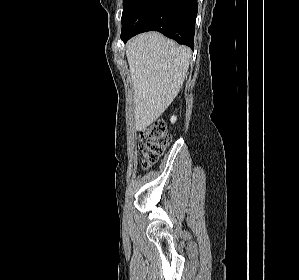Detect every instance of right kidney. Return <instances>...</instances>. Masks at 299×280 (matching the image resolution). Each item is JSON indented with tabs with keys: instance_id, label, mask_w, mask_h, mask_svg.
I'll return each instance as SVG.
<instances>
[{
	"instance_id": "ca27d5eb",
	"label": "right kidney",
	"mask_w": 299,
	"mask_h": 280,
	"mask_svg": "<svg viewBox=\"0 0 299 280\" xmlns=\"http://www.w3.org/2000/svg\"><path fill=\"white\" fill-rule=\"evenodd\" d=\"M176 120H177V117L173 115V116L171 117V123H175Z\"/></svg>"
}]
</instances>
